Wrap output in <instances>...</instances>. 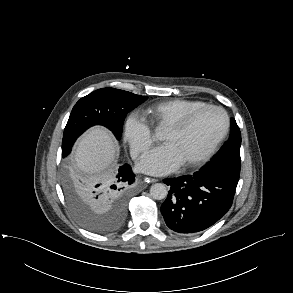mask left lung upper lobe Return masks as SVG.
I'll return each mask as SVG.
<instances>
[{
  "mask_svg": "<svg viewBox=\"0 0 293 293\" xmlns=\"http://www.w3.org/2000/svg\"><path fill=\"white\" fill-rule=\"evenodd\" d=\"M240 146V129L235 119L231 118V133L228 141L201 170H217L239 179L241 166Z\"/></svg>",
  "mask_w": 293,
  "mask_h": 293,
  "instance_id": "left-lung-upper-lobe-1",
  "label": "left lung upper lobe"
}]
</instances>
